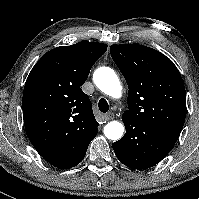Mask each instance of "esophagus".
<instances>
[{"label": "esophagus", "mask_w": 199, "mask_h": 199, "mask_svg": "<svg viewBox=\"0 0 199 199\" xmlns=\"http://www.w3.org/2000/svg\"><path fill=\"white\" fill-rule=\"evenodd\" d=\"M104 119L106 121L113 120L114 119V114L113 113H107V114L104 115Z\"/></svg>", "instance_id": "34e87169"}]
</instances>
